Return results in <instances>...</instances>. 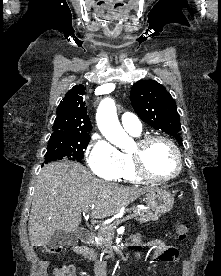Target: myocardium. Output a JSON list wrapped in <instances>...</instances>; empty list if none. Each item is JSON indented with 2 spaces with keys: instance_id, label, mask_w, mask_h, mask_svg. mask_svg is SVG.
Here are the masks:
<instances>
[{
  "instance_id": "obj_1",
  "label": "myocardium",
  "mask_w": 221,
  "mask_h": 276,
  "mask_svg": "<svg viewBox=\"0 0 221 276\" xmlns=\"http://www.w3.org/2000/svg\"><path fill=\"white\" fill-rule=\"evenodd\" d=\"M156 140H161L166 142L175 153L176 160H177V168H176V171L171 175L164 176V177L155 176L152 173H150V171L146 166L145 149L150 143ZM130 155L133 161L135 172L141 180H145L148 182H166L178 177L182 171L183 162H182L181 152L177 144L171 138L164 135L152 134V135H145L140 137L136 141V149L132 151Z\"/></svg>"
}]
</instances>
